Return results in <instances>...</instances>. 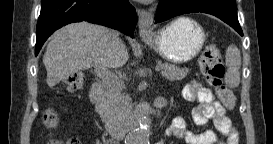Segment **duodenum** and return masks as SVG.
I'll list each match as a JSON object with an SVG mask.
<instances>
[{"label": "duodenum", "mask_w": 273, "mask_h": 144, "mask_svg": "<svg viewBox=\"0 0 273 144\" xmlns=\"http://www.w3.org/2000/svg\"><path fill=\"white\" fill-rule=\"evenodd\" d=\"M104 88L100 83L93 84L90 90V101L97 112H101L104 107L103 103ZM166 105V100L158 97L151 105L138 106L131 116L118 125H109L107 131L112 139L122 140L128 131L138 125L147 117H159L160 109Z\"/></svg>", "instance_id": "obj_1"}]
</instances>
